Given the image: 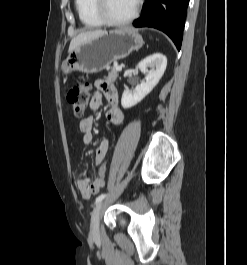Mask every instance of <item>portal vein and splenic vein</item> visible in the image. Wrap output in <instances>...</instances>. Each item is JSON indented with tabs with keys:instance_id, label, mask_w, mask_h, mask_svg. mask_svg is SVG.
Listing matches in <instances>:
<instances>
[{
	"instance_id": "portal-vein-and-splenic-vein-1",
	"label": "portal vein and splenic vein",
	"mask_w": 247,
	"mask_h": 265,
	"mask_svg": "<svg viewBox=\"0 0 247 265\" xmlns=\"http://www.w3.org/2000/svg\"><path fill=\"white\" fill-rule=\"evenodd\" d=\"M116 70L121 71L122 70V66H117Z\"/></svg>"
}]
</instances>
